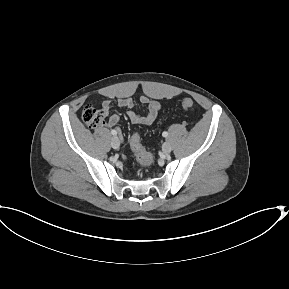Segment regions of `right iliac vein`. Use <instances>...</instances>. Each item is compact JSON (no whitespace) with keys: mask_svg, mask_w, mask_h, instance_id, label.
<instances>
[{"mask_svg":"<svg viewBox=\"0 0 289 289\" xmlns=\"http://www.w3.org/2000/svg\"><path fill=\"white\" fill-rule=\"evenodd\" d=\"M111 146H112L114 149L119 148V146H120V141H119V139H118L117 136L112 137V139H111Z\"/></svg>","mask_w":289,"mask_h":289,"instance_id":"obj_1","label":"right iliac vein"}]
</instances>
